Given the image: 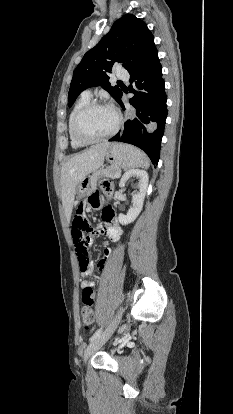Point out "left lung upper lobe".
<instances>
[{
    "label": "left lung upper lobe",
    "instance_id": "obj_1",
    "mask_svg": "<svg viewBox=\"0 0 233 414\" xmlns=\"http://www.w3.org/2000/svg\"><path fill=\"white\" fill-rule=\"evenodd\" d=\"M156 51L154 37L146 23L134 15H124L76 67L69 89V107L84 89L94 86H102L118 102L122 91L109 83L112 67L121 63L133 73Z\"/></svg>",
    "mask_w": 233,
    "mask_h": 414
}]
</instances>
